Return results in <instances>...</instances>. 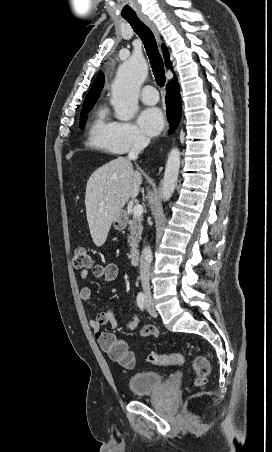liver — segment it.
I'll use <instances>...</instances> for the list:
<instances>
[{
	"label": "liver",
	"instance_id": "1",
	"mask_svg": "<svg viewBox=\"0 0 272 452\" xmlns=\"http://www.w3.org/2000/svg\"><path fill=\"white\" fill-rule=\"evenodd\" d=\"M142 176L131 161L118 157L95 170L87 181L85 206L90 234L102 246L114 218L127 201L139 194Z\"/></svg>",
	"mask_w": 272,
	"mask_h": 452
}]
</instances>
